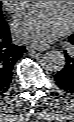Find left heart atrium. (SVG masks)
<instances>
[{
  "label": "left heart atrium",
  "mask_w": 74,
  "mask_h": 122,
  "mask_svg": "<svg viewBox=\"0 0 74 122\" xmlns=\"http://www.w3.org/2000/svg\"><path fill=\"white\" fill-rule=\"evenodd\" d=\"M70 22L53 5L30 9L19 14L12 28L16 39L22 43L44 44L65 34Z\"/></svg>",
  "instance_id": "39dd6f15"
}]
</instances>
